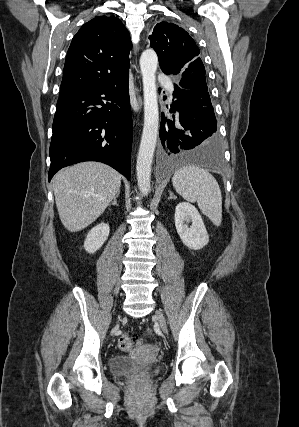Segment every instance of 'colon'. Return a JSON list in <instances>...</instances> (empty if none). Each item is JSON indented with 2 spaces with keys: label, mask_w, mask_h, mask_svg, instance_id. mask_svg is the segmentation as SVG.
Instances as JSON below:
<instances>
[{
  "label": "colon",
  "mask_w": 299,
  "mask_h": 427,
  "mask_svg": "<svg viewBox=\"0 0 299 427\" xmlns=\"http://www.w3.org/2000/svg\"><path fill=\"white\" fill-rule=\"evenodd\" d=\"M118 346L121 351L129 352L133 349V341L129 336H122L119 339Z\"/></svg>",
  "instance_id": "colon-1"
}]
</instances>
